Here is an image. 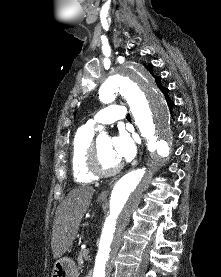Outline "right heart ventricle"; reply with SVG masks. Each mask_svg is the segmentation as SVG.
Wrapping results in <instances>:
<instances>
[{"label":"right heart ventricle","instance_id":"1","mask_svg":"<svg viewBox=\"0 0 221 277\" xmlns=\"http://www.w3.org/2000/svg\"><path fill=\"white\" fill-rule=\"evenodd\" d=\"M94 138V130L88 126L81 127L75 134L71 149V167L74 180L87 184L95 180L87 168V156Z\"/></svg>","mask_w":221,"mask_h":277}]
</instances>
